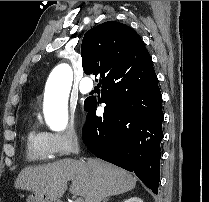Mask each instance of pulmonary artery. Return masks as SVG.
<instances>
[{
	"label": "pulmonary artery",
	"instance_id": "1",
	"mask_svg": "<svg viewBox=\"0 0 209 202\" xmlns=\"http://www.w3.org/2000/svg\"><path fill=\"white\" fill-rule=\"evenodd\" d=\"M93 87V82L91 79H86L84 82H82L81 84V91L83 93H86L88 91H90Z\"/></svg>",
	"mask_w": 209,
	"mask_h": 202
}]
</instances>
